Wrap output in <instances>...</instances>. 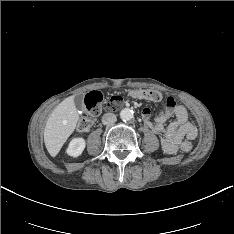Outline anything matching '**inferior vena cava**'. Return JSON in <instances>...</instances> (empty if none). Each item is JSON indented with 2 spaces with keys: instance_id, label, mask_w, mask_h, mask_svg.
<instances>
[{
  "instance_id": "1",
  "label": "inferior vena cava",
  "mask_w": 234,
  "mask_h": 234,
  "mask_svg": "<svg viewBox=\"0 0 234 234\" xmlns=\"http://www.w3.org/2000/svg\"><path fill=\"white\" fill-rule=\"evenodd\" d=\"M116 120H117V117H116V115L113 114V113H106V114H104L103 117H102V123H103L104 125L113 124V123L116 122Z\"/></svg>"
}]
</instances>
